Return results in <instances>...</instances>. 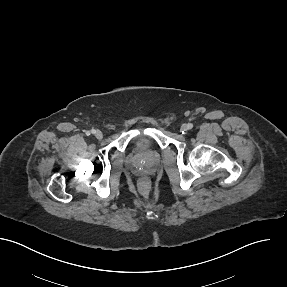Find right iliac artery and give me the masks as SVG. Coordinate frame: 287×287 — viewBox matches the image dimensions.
I'll list each match as a JSON object with an SVG mask.
<instances>
[{
  "mask_svg": "<svg viewBox=\"0 0 287 287\" xmlns=\"http://www.w3.org/2000/svg\"><path fill=\"white\" fill-rule=\"evenodd\" d=\"M94 132H95V130L92 129L91 131H87L86 134H87V135H90L91 133L94 134Z\"/></svg>",
  "mask_w": 287,
  "mask_h": 287,
  "instance_id": "obj_1",
  "label": "right iliac artery"
}]
</instances>
